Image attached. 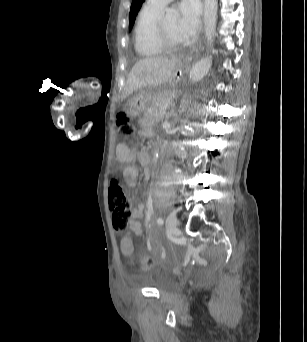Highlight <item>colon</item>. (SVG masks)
<instances>
[{"mask_svg": "<svg viewBox=\"0 0 307 342\" xmlns=\"http://www.w3.org/2000/svg\"><path fill=\"white\" fill-rule=\"evenodd\" d=\"M116 124L119 132L125 136L134 133V125L131 118L125 111H119L116 118ZM108 199L112 211L113 225L117 229H124L131 217L132 205L127 200L126 194L120 184V180L116 175L111 177L110 187L108 191ZM120 254H133L134 239L130 235H123L119 239ZM153 256L147 258L142 264V270L147 272L153 265Z\"/></svg>", "mask_w": 307, "mask_h": 342, "instance_id": "5ec220e1", "label": "colon"}]
</instances>
